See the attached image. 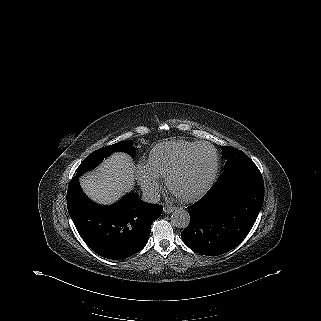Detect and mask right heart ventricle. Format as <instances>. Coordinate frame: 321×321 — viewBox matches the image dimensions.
Instances as JSON below:
<instances>
[{"label":"right heart ventricle","instance_id":"1","mask_svg":"<svg viewBox=\"0 0 321 321\" xmlns=\"http://www.w3.org/2000/svg\"><path fill=\"white\" fill-rule=\"evenodd\" d=\"M199 142L166 141L157 144L149 153L147 164L157 177H165L168 171Z\"/></svg>","mask_w":321,"mask_h":321}]
</instances>
